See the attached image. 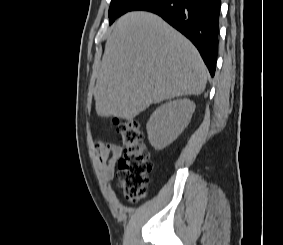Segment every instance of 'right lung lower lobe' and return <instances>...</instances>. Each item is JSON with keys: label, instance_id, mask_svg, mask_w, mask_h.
I'll list each match as a JSON object with an SVG mask.
<instances>
[{"label": "right lung lower lobe", "instance_id": "right-lung-lower-lobe-1", "mask_svg": "<svg viewBox=\"0 0 283 245\" xmlns=\"http://www.w3.org/2000/svg\"><path fill=\"white\" fill-rule=\"evenodd\" d=\"M220 6L221 0H143L130 11L145 10L161 16L192 41L214 76Z\"/></svg>", "mask_w": 283, "mask_h": 245}]
</instances>
